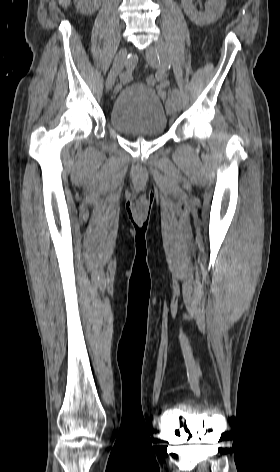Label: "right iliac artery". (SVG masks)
Listing matches in <instances>:
<instances>
[{
    "mask_svg": "<svg viewBox=\"0 0 280 472\" xmlns=\"http://www.w3.org/2000/svg\"><path fill=\"white\" fill-rule=\"evenodd\" d=\"M137 62H138V57L136 55H128L124 63L126 69L120 74L121 81L128 82L131 80L132 71L137 65Z\"/></svg>",
    "mask_w": 280,
    "mask_h": 472,
    "instance_id": "obj_1",
    "label": "right iliac artery"
}]
</instances>
